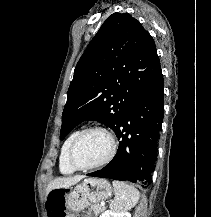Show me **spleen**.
Returning <instances> with one entry per match:
<instances>
[{"label": "spleen", "mask_w": 211, "mask_h": 217, "mask_svg": "<svg viewBox=\"0 0 211 217\" xmlns=\"http://www.w3.org/2000/svg\"><path fill=\"white\" fill-rule=\"evenodd\" d=\"M112 184L115 193L114 200L110 204L112 211L117 213L126 212L138 203L140 193L136 188L117 180H114Z\"/></svg>", "instance_id": "spleen-1"}]
</instances>
